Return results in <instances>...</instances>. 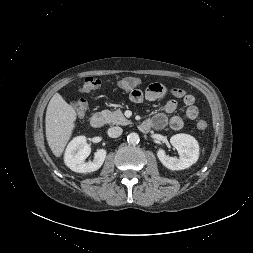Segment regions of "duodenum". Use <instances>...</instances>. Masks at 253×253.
Wrapping results in <instances>:
<instances>
[{
	"mask_svg": "<svg viewBox=\"0 0 253 253\" xmlns=\"http://www.w3.org/2000/svg\"><path fill=\"white\" fill-rule=\"evenodd\" d=\"M105 123V118L101 113H95L91 119L90 124L93 128H101ZM151 123L148 121H144L140 125V130L143 132H148L151 129Z\"/></svg>",
	"mask_w": 253,
	"mask_h": 253,
	"instance_id": "duodenum-1",
	"label": "duodenum"
}]
</instances>
